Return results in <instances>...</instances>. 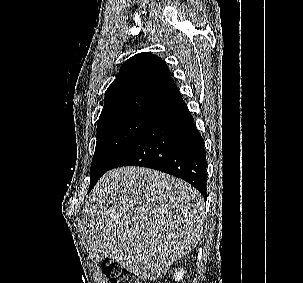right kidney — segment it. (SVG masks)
Listing matches in <instances>:
<instances>
[{"instance_id":"right-kidney-1","label":"right kidney","mask_w":303,"mask_h":283,"mask_svg":"<svg viewBox=\"0 0 303 283\" xmlns=\"http://www.w3.org/2000/svg\"><path fill=\"white\" fill-rule=\"evenodd\" d=\"M184 270L183 269H180V271H176L175 274H174V277H175V280L176 281H179L183 278L184 276Z\"/></svg>"}]
</instances>
